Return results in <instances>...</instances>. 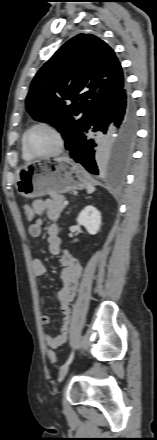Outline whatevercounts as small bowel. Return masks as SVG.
Returning <instances> with one entry per match:
<instances>
[{"mask_svg": "<svg viewBox=\"0 0 157 440\" xmlns=\"http://www.w3.org/2000/svg\"><path fill=\"white\" fill-rule=\"evenodd\" d=\"M32 209L36 215L46 212L47 217L52 222L48 227V245L50 253L60 258L62 286L57 292V298L60 303V311L63 316L60 331L56 336L46 334L44 336L45 343L48 347L56 349L65 343L68 333V324L70 319V304L77 292L79 282L82 275V266L80 262L66 249H63L61 238L59 236V227L57 221L59 219L60 210L56 203L50 199L35 200L32 203ZM43 220L37 217L29 226V234L32 237H39L42 232ZM33 274L40 277L45 274L46 266L44 262L35 258L32 260ZM47 315L41 316L43 325L49 324Z\"/></svg>", "mask_w": 157, "mask_h": 440, "instance_id": "1", "label": "small bowel"}]
</instances>
